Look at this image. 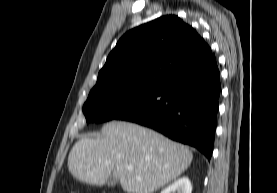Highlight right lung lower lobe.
Instances as JSON below:
<instances>
[{
	"mask_svg": "<svg viewBox=\"0 0 277 193\" xmlns=\"http://www.w3.org/2000/svg\"><path fill=\"white\" fill-rule=\"evenodd\" d=\"M220 91V73L212 55L203 64L166 81L146 101L118 119L191 145L210 160Z\"/></svg>",
	"mask_w": 277,
	"mask_h": 193,
	"instance_id": "98d812e1",
	"label": "right lung lower lobe"
}]
</instances>
